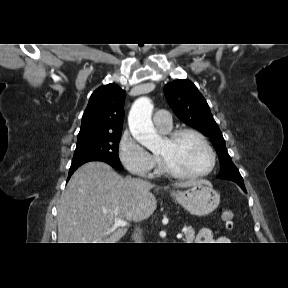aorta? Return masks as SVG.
<instances>
[{"label":"aorta","mask_w":288,"mask_h":288,"mask_svg":"<svg viewBox=\"0 0 288 288\" xmlns=\"http://www.w3.org/2000/svg\"><path fill=\"white\" fill-rule=\"evenodd\" d=\"M152 110L151 100L147 97H140L132 105L128 117V124L133 137L149 150L158 148L161 141L151 120Z\"/></svg>","instance_id":"obj_1"}]
</instances>
